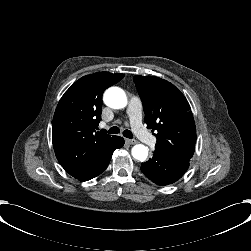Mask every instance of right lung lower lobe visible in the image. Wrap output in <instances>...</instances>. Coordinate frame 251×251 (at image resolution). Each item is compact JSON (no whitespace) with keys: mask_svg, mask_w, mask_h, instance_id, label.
Masks as SVG:
<instances>
[{"mask_svg":"<svg viewBox=\"0 0 251 251\" xmlns=\"http://www.w3.org/2000/svg\"><path fill=\"white\" fill-rule=\"evenodd\" d=\"M123 145H124V139L122 137H119L117 140L115 149L121 148ZM114 150H113V152H114ZM113 152L108 156V158L105 161L102 162V164L99 167H97L96 169H94L93 171H91L90 173L86 174L85 176H83L82 178H80L78 180L88 181V180L98 176L99 174H101L107 168V166L111 160Z\"/></svg>","mask_w":251,"mask_h":251,"instance_id":"right-lung-lower-lobe-1","label":"right lung lower lobe"}]
</instances>
